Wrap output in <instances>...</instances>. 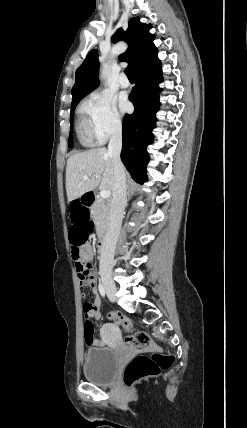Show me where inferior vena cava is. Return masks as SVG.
Returning a JSON list of instances; mask_svg holds the SVG:
<instances>
[{
    "mask_svg": "<svg viewBox=\"0 0 247 428\" xmlns=\"http://www.w3.org/2000/svg\"><path fill=\"white\" fill-rule=\"evenodd\" d=\"M122 149V127L117 123L113 127L112 135L108 144V153L112 156L114 187L110 208V218L107 233L104 237L100 252V268L111 269L113 266L116 243L120 234L124 209L126 206V174L125 167L121 162L120 153Z\"/></svg>",
    "mask_w": 247,
    "mask_h": 428,
    "instance_id": "1",
    "label": "inferior vena cava"
}]
</instances>
